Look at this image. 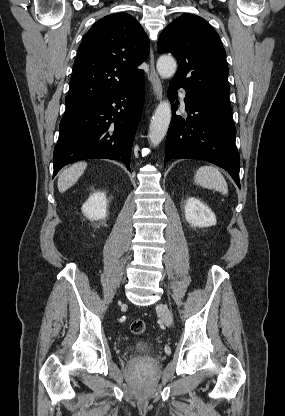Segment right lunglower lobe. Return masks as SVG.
Returning a JSON list of instances; mask_svg holds the SVG:
<instances>
[{
	"instance_id": "98d812e1",
	"label": "right lung lower lobe",
	"mask_w": 285,
	"mask_h": 416,
	"mask_svg": "<svg viewBox=\"0 0 285 416\" xmlns=\"http://www.w3.org/2000/svg\"><path fill=\"white\" fill-rule=\"evenodd\" d=\"M144 78L101 101L66 109L54 149V174L91 158L123 161L130 170L133 139L144 101Z\"/></svg>"
}]
</instances>
